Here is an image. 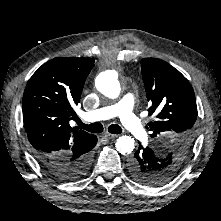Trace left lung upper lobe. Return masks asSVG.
Masks as SVG:
<instances>
[{
  "mask_svg": "<svg viewBox=\"0 0 221 221\" xmlns=\"http://www.w3.org/2000/svg\"><path fill=\"white\" fill-rule=\"evenodd\" d=\"M141 68L150 105L149 115H156V119L148 124L152 131L150 136L163 146L157 152L161 167L155 178L164 184L176 176L192 149L196 100L188 80L167 62L144 58Z\"/></svg>",
  "mask_w": 221,
  "mask_h": 221,
  "instance_id": "obj_1",
  "label": "left lung upper lobe"
}]
</instances>
